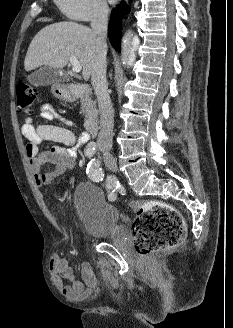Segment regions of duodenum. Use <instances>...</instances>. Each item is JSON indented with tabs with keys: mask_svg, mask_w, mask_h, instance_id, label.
Segmentation results:
<instances>
[{
	"mask_svg": "<svg viewBox=\"0 0 233 328\" xmlns=\"http://www.w3.org/2000/svg\"><path fill=\"white\" fill-rule=\"evenodd\" d=\"M89 93V87L83 84H71L64 92L60 93L67 99H76ZM86 128L91 134H96L99 129V121L96 114H90L86 119Z\"/></svg>",
	"mask_w": 233,
	"mask_h": 328,
	"instance_id": "410a0bca",
	"label": "duodenum"
}]
</instances>
